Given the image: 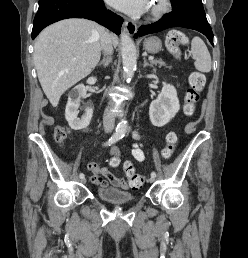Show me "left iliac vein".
I'll return each mask as SVG.
<instances>
[{
    "label": "left iliac vein",
    "instance_id": "obj_1",
    "mask_svg": "<svg viewBox=\"0 0 248 258\" xmlns=\"http://www.w3.org/2000/svg\"><path fill=\"white\" fill-rule=\"evenodd\" d=\"M154 181H155V178H153V177H150V178H149V182H150V183H153Z\"/></svg>",
    "mask_w": 248,
    "mask_h": 258
}]
</instances>
